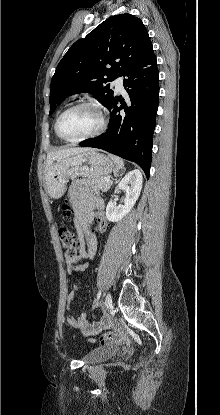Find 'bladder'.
<instances>
[{
    "instance_id": "1",
    "label": "bladder",
    "mask_w": 220,
    "mask_h": 415,
    "mask_svg": "<svg viewBox=\"0 0 220 415\" xmlns=\"http://www.w3.org/2000/svg\"><path fill=\"white\" fill-rule=\"evenodd\" d=\"M120 351V346L110 345L105 347H99L90 350L84 357L86 363H96L110 357L115 356Z\"/></svg>"
}]
</instances>
